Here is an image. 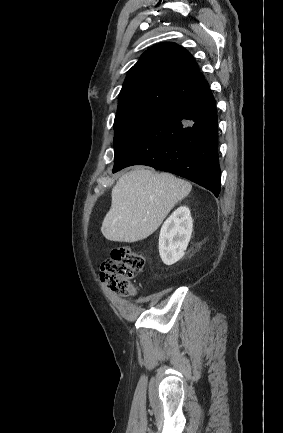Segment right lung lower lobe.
Masks as SVG:
<instances>
[{
    "mask_svg": "<svg viewBox=\"0 0 283 433\" xmlns=\"http://www.w3.org/2000/svg\"><path fill=\"white\" fill-rule=\"evenodd\" d=\"M217 111L208 87L154 117L115 157L113 173L147 165L220 193Z\"/></svg>",
    "mask_w": 283,
    "mask_h": 433,
    "instance_id": "1",
    "label": "right lung lower lobe"
}]
</instances>
